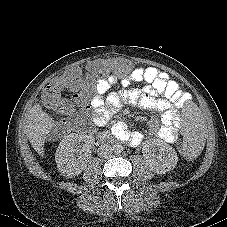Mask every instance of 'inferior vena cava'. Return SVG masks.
I'll return each instance as SVG.
<instances>
[{
  "label": "inferior vena cava",
  "mask_w": 227,
  "mask_h": 227,
  "mask_svg": "<svg viewBox=\"0 0 227 227\" xmlns=\"http://www.w3.org/2000/svg\"><path fill=\"white\" fill-rule=\"evenodd\" d=\"M113 149L109 144H102L98 148V155L101 158H108L112 155Z\"/></svg>",
  "instance_id": "602c4592"
}]
</instances>
